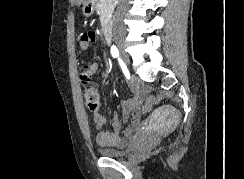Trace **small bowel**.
I'll return each mask as SVG.
<instances>
[{"mask_svg": "<svg viewBox=\"0 0 244 179\" xmlns=\"http://www.w3.org/2000/svg\"><path fill=\"white\" fill-rule=\"evenodd\" d=\"M83 36V38H82ZM97 41V34L94 31H84L79 36L78 45L81 50H88L90 43ZM98 61H92L83 64V70L80 78L83 83L89 82L92 75L99 70ZM140 95L136 94L133 99L125 103L123 111V121L129 125L120 131V118L114 116L111 121L110 130L106 132H98L96 135V143L102 147H120L123 146L132 132L140 125V113L144 108H140ZM93 120L97 129H101L105 124V117L99 111H94Z\"/></svg>", "mask_w": 244, "mask_h": 179, "instance_id": "c3829d8e", "label": "small bowel"}]
</instances>
